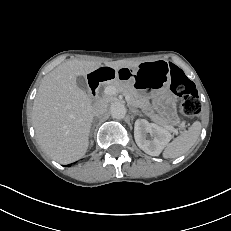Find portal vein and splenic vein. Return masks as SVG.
I'll use <instances>...</instances> for the list:
<instances>
[{
    "label": "portal vein and splenic vein",
    "mask_w": 231,
    "mask_h": 231,
    "mask_svg": "<svg viewBox=\"0 0 231 231\" xmlns=\"http://www.w3.org/2000/svg\"><path fill=\"white\" fill-rule=\"evenodd\" d=\"M118 93V90L114 87V86H107L105 89H104V94L105 95H115ZM125 99L127 101L130 100V96L129 95H125ZM175 134H177V130L176 129H171Z\"/></svg>",
    "instance_id": "1"
}]
</instances>
